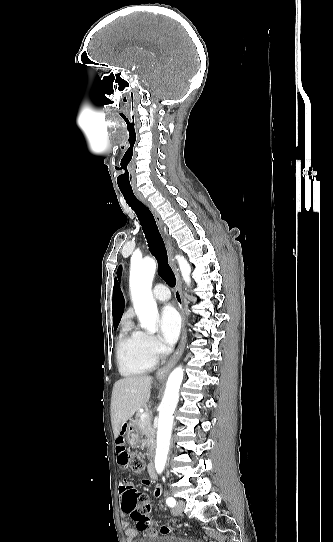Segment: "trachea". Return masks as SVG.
Instances as JSON below:
<instances>
[{"instance_id": "obj_1", "label": "trachea", "mask_w": 333, "mask_h": 542, "mask_svg": "<svg viewBox=\"0 0 333 542\" xmlns=\"http://www.w3.org/2000/svg\"><path fill=\"white\" fill-rule=\"evenodd\" d=\"M121 192L126 200V203L132 208V210H134L138 220L140 221L148 242L149 250L158 261L159 274L165 280L166 284H168L170 287H174L176 283L175 275L168 264L165 245L159 233L153 214L149 208L144 205V203L138 200L132 189H124L121 190Z\"/></svg>"}]
</instances>
